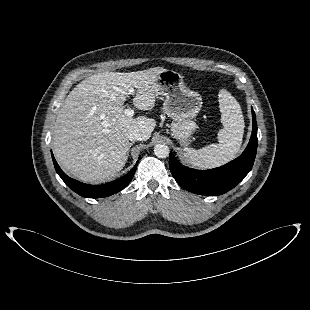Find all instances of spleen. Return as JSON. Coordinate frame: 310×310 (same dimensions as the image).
I'll return each instance as SVG.
<instances>
[{"instance_id":"obj_1","label":"spleen","mask_w":310,"mask_h":310,"mask_svg":"<svg viewBox=\"0 0 310 310\" xmlns=\"http://www.w3.org/2000/svg\"><path fill=\"white\" fill-rule=\"evenodd\" d=\"M219 108L223 128L218 132V144H210L199 150L185 147L184 157L189 164L202 169L219 167L236 157L243 134L244 117L241 107L229 92L222 89L219 92Z\"/></svg>"}]
</instances>
